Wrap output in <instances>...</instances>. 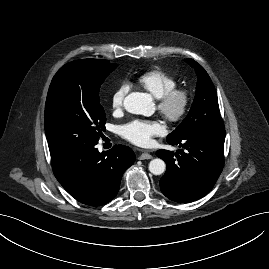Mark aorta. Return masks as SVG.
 <instances>
[{
    "mask_svg": "<svg viewBox=\"0 0 269 269\" xmlns=\"http://www.w3.org/2000/svg\"><path fill=\"white\" fill-rule=\"evenodd\" d=\"M124 108L132 114L150 116L153 113L152 97L147 93L132 92L124 99ZM165 169L166 164L160 158L149 163V171L154 175H161Z\"/></svg>",
    "mask_w": 269,
    "mask_h": 269,
    "instance_id": "762f6f07",
    "label": "aorta"
}]
</instances>
